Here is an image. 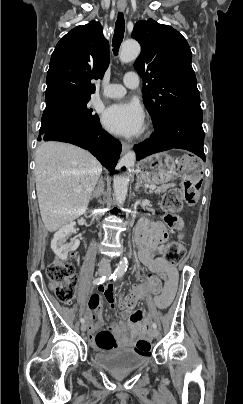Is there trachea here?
I'll use <instances>...</instances> for the list:
<instances>
[{
	"mask_svg": "<svg viewBox=\"0 0 243 404\" xmlns=\"http://www.w3.org/2000/svg\"><path fill=\"white\" fill-rule=\"evenodd\" d=\"M125 33V21L123 14L121 12L118 13V18L115 24L114 36L112 40L113 52L115 55L118 54L120 45L123 41Z\"/></svg>",
	"mask_w": 243,
	"mask_h": 404,
	"instance_id": "1",
	"label": "trachea"
}]
</instances>
